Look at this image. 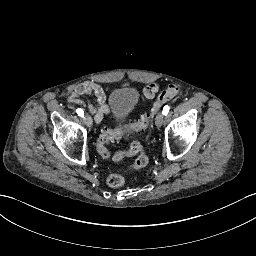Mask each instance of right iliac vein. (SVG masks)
<instances>
[{
    "instance_id": "obj_1",
    "label": "right iliac vein",
    "mask_w": 256,
    "mask_h": 256,
    "mask_svg": "<svg viewBox=\"0 0 256 256\" xmlns=\"http://www.w3.org/2000/svg\"><path fill=\"white\" fill-rule=\"evenodd\" d=\"M83 121L84 123L86 124L87 127H92L93 125V121H92V118L90 117V115L86 114L84 117H83Z\"/></svg>"
}]
</instances>
